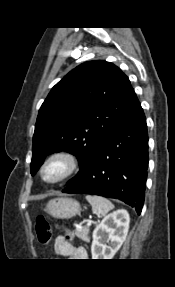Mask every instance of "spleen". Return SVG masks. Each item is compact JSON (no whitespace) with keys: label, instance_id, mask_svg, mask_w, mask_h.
<instances>
[{"label":"spleen","instance_id":"3e777b00","mask_svg":"<svg viewBox=\"0 0 175 287\" xmlns=\"http://www.w3.org/2000/svg\"><path fill=\"white\" fill-rule=\"evenodd\" d=\"M85 198L92 206V211L97 215L105 216L110 210L114 208L112 202L102 196L87 195Z\"/></svg>","mask_w":175,"mask_h":287}]
</instances>
